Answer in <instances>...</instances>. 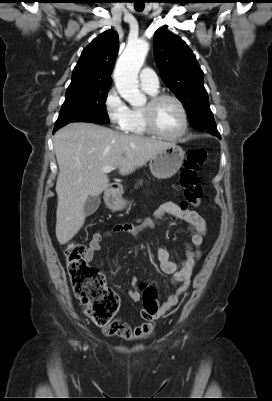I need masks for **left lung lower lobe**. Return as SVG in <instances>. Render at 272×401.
Returning a JSON list of instances; mask_svg holds the SVG:
<instances>
[{
  "instance_id": "left-lung-lower-lobe-1",
  "label": "left lung lower lobe",
  "mask_w": 272,
  "mask_h": 401,
  "mask_svg": "<svg viewBox=\"0 0 272 401\" xmlns=\"http://www.w3.org/2000/svg\"><path fill=\"white\" fill-rule=\"evenodd\" d=\"M208 132H209L210 134H212V135L217 136L218 138H221L219 132L217 131V128H215V129H209Z\"/></svg>"
}]
</instances>
